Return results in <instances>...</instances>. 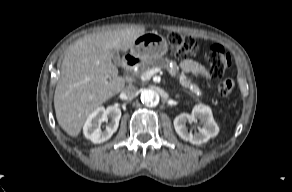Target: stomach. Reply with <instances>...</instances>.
<instances>
[{
    "instance_id": "obj_1",
    "label": "stomach",
    "mask_w": 292,
    "mask_h": 192,
    "mask_svg": "<svg viewBox=\"0 0 292 192\" xmlns=\"http://www.w3.org/2000/svg\"><path fill=\"white\" fill-rule=\"evenodd\" d=\"M168 44L157 32H147L139 36L131 47V55L145 62L159 59L166 54Z\"/></svg>"
}]
</instances>
